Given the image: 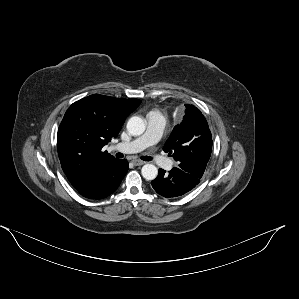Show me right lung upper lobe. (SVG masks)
<instances>
[{"label":"right lung upper lobe","instance_id":"obj_1","mask_svg":"<svg viewBox=\"0 0 299 299\" xmlns=\"http://www.w3.org/2000/svg\"><path fill=\"white\" fill-rule=\"evenodd\" d=\"M140 103L91 95L68 108L58 129L57 147L62 169L74 188H88L102 169L116 160L102 148L118 135L126 117Z\"/></svg>","mask_w":299,"mask_h":299}]
</instances>
